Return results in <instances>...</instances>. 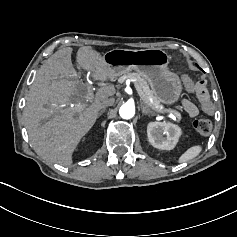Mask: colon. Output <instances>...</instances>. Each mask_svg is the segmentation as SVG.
<instances>
[{"label": "colon", "mask_w": 237, "mask_h": 237, "mask_svg": "<svg viewBox=\"0 0 237 237\" xmlns=\"http://www.w3.org/2000/svg\"><path fill=\"white\" fill-rule=\"evenodd\" d=\"M181 79L186 89L197 97L204 110L210 111L213 109V104L210 102L209 97L205 94L204 90H198L197 84H195L191 78L185 74L181 76ZM193 125L195 130L201 135H207L212 130L211 121L205 118L195 120Z\"/></svg>", "instance_id": "obj_1"}]
</instances>
